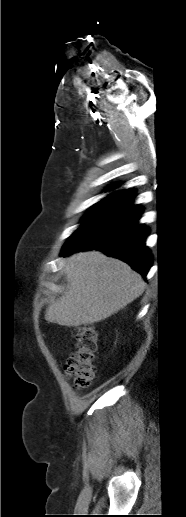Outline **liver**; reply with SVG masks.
<instances>
[{
	"instance_id": "obj_1",
	"label": "liver",
	"mask_w": 186,
	"mask_h": 517,
	"mask_svg": "<svg viewBox=\"0 0 186 517\" xmlns=\"http://www.w3.org/2000/svg\"><path fill=\"white\" fill-rule=\"evenodd\" d=\"M63 271L67 289L45 314L46 321L62 326L105 320L134 301L145 288L141 275L128 264L99 251L73 254Z\"/></svg>"
}]
</instances>
